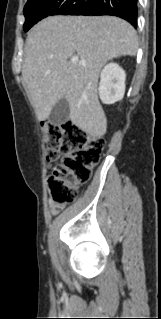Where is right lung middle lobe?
<instances>
[{"label":"right lung middle lobe","instance_id":"obj_1","mask_svg":"<svg viewBox=\"0 0 161 319\" xmlns=\"http://www.w3.org/2000/svg\"><path fill=\"white\" fill-rule=\"evenodd\" d=\"M87 0H28L24 7V30L47 16L70 15L81 8Z\"/></svg>","mask_w":161,"mask_h":319}]
</instances>
